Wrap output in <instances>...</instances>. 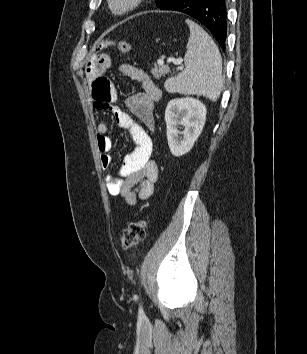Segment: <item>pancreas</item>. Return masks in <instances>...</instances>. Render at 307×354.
<instances>
[{
	"label": "pancreas",
	"mask_w": 307,
	"mask_h": 354,
	"mask_svg": "<svg viewBox=\"0 0 307 354\" xmlns=\"http://www.w3.org/2000/svg\"><path fill=\"white\" fill-rule=\"evenodd\" d=\"M169 71H170L169 68L167 66H165L164 64L163 65L157 64L151 70V73L155 78L160 79L162 76H165L166 74H168Z\"/></svg>",
	"instance_id": "obj_1"
}]
</instances>
